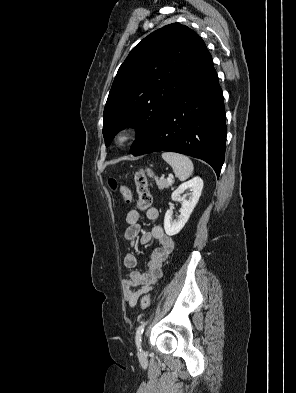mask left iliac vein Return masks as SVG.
<instances>
[{
	"label": "left iliac vein",
	"mask_w": 296,
	"mask_h": 393,
	"mask_svg": "<svg viewBox=\"0 0 296 393\" xmlns=\"http://www.w3.org/2000/svg\"><path fill=\"white\" fill-rule=\"evenodd\" d=\"M139 354H140V355L142 354V351H141V350H140Z\"/></svg>",
	"instance_id": "4c4485c4"
}]
</instances>
